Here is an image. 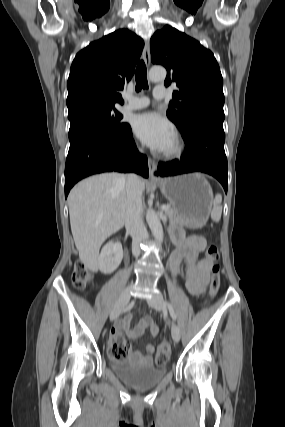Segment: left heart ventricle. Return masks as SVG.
<instances>
[{"instance_id":"1","label":"left heart ventricle","mask_w":285,"mask_h":427,"mask_svg":"<svg viewBox=\"0 0 285 427\" xmlns=\"http://www.w3.org/2000/svg\"><path fill=\"white\" fill-rule=\"evenodd\" d=\"M172 145H173V141H172V143L170 144L169 148H171V147H172ZM169 148H168V149H169ZM168 149H167V150H168Z\"/></svg>"}]
</instances>
